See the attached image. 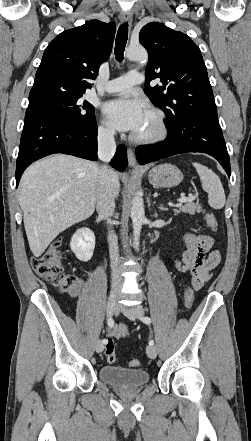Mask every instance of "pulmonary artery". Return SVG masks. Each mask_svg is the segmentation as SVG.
<instances>
[{
    "instance_id": "1",
    "label": "pulmonary artery",
    "mask_w": 251,
    "mask_h": 441,
    "mask_svg": "<svg viewBox=\"0 0 251 441\" xmlns=\"http://www.w3.org/2000/svg\"><path fill=\"white\" fill-rule=\"evenodd\" d=\"M143 79L142 73L132 70L121 77L108 81L105 90L108 93L126 91L134 85L141 84Z\"/></svg>"
}]
</instances>
